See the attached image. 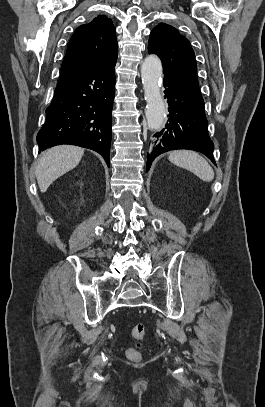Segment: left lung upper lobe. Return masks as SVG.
Masks as SVG:
<instances>
[{
	"instance_id": "obj_1",
	"label": "left lung upper lobe",
	"mask_w": 265,
	"mask_h": 407,
	"mask_svg": "<svg viewBox=\"0 0 265 407\" xmlns=\"http://www.w3.org/2000/svg\"><path fill=\"white\" fill-rule=\"evenodd\" d=\"M148 53H155L160 57L165 76L201 95L194 51L188 39L174 27L165 23L158 24L150 34Z\"/></svg>"
}]
</instances>
